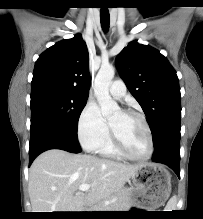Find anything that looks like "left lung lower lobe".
<instances>
[{
    "mask_svg": "<svg viewBox=\"0 0 203 219\" xmlns=\"http://www.w3.org/2000/svg\"><path fill=\"white\" fill-rule=\"evenodd\" d=\"M180 129L170 132L155 147L152 161L169 166L180 178Z\"/></svg>",
    "mask_w": 203,
    "mask_h": 219,
    "instance_id": "1",
    "label": "left lung lower lobe"
}]
</instances>
